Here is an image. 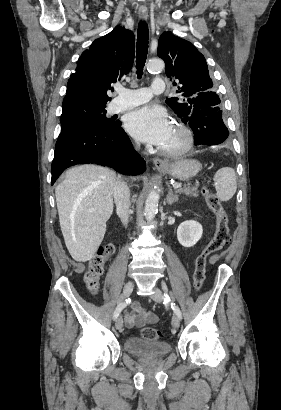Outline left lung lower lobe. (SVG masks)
<instances>
[{
    "instance_id": "obj_1",
    "label": "left lung lower lobe",
    "mask_w": 281,
    "mask_h": 410,
    "mask_svg": "<svg viewBox=\"0 0 281 410\" xmlns=\"http://www.w3.org/2000/svg\"><path fill=\"white\" fill-rule=\"evenodd\" d=\"M194 133L195 145H215L224 142L228 135L219 106L195 109L187 118Z\"/></svg>"
}]
</instances>
